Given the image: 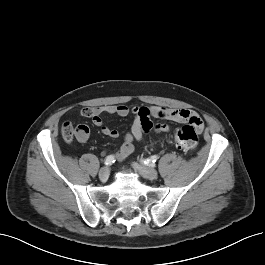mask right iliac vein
Returning a JSON list of instances; mask_svg holds the SVG:
<instances>
[{
    "instance_id": "1",
    "label": "right iliac vein",
    "mask_w": 265,
    "mask_h": 265,
    "mask_svg": "<svg viewBox=\"0 0 265 265\" xmlns=\"http://www.w3.org/2000/svg\"><path fill=\"white\" fill-rule=\"evenodd\" d=\"M109 177V168L108 167H104L102 169H100L99 171V178L101 181L105 182Z\"/></svg>"
}]
</instances>
